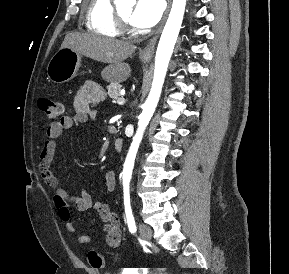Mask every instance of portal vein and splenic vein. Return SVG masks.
I'll return each instance as SVG.
<instances>
[{
  "mask_svg": "<svg viewBox=\"0 0 289 274\" xmlns=\"http://www.w3.org/2000/svg\"><path fill=\"white\" fill-rule=\"evenodd\" d=\"M125 103V99L123 97H120L117 99V104L123 105Z\"/></svg>",
  "mask_w": 289,
  "mask_h": 274,
  "instance_id": "portal-vein-and-splenic-vein-1",
  "label": "portal vein and splenic vein"
}]
</instances>
